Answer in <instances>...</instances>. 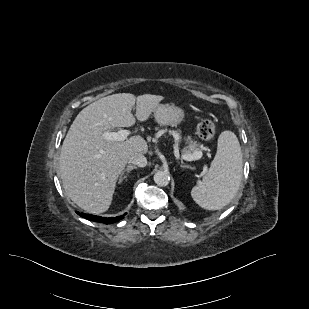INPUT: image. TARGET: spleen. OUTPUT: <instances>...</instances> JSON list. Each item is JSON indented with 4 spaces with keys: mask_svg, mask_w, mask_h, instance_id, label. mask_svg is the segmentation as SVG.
Masks as SVG:
<instances>
[{
    "mask_svg": "<svg viewBox=\"0 0 309 309\" xmlns=\"http://www.w3.org/2000/svg\"><path fill=\"white\" fill-rule=\"evenodd\" d=\"M243 158L238 138L223 131L218 138L217 153L211 166L192 188L193 200L207 210H220L229 204L241 184Z\"/></svg>",
    "mask_w": 309,
    "mask_h": 309,
    "instance_id": "1",
    "label": "spleen"
}]
</instances>
